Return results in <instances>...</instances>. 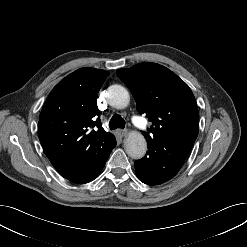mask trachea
<instances>
[{
  "mask_svg": "<svg viewBox=\"0 0 247 247\" xmlns=\"http://www.w3.org/2000/svg\"><path fill=\"white\" fill-rule=\"evenodd\" d=\"M109 127L112 130L117 129V128L123 129L125 127V121L120 115L114 114L112 118L110 119Z\"/></svg>",
  "mask_w": 247,
  "mask_h": 247,
  "instance_id": "1",
  "label": "trachea"
}]
</instances>
